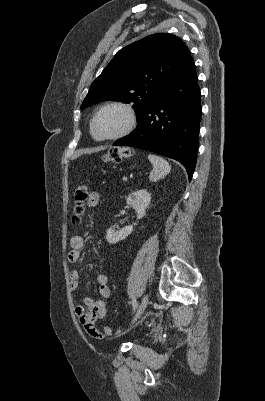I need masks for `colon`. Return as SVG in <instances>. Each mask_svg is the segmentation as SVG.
Wrapping results in <instances>:
<instances>
[{
  "mask_svg": "<svg viewBox=\"0 0 265 401\" xmlns=\"http://www.w3.org/2000/svg\"><path fill=\"white\" fill-rule=\"evenodd\" d=\"M131 155V151L127 148L114 147L107 151L105 159L109 163H118ZM90 197V190L87 184L81 183L76 187L74 194L75 208L73 213V223L78 224L81 221L84 212L85 203ZM88 334L95 338H103L105 335L114 333L110 327H105L103 331L98 330L92 324H88L85 328Z\"/></svg>",
  "mask_w": 265,
  "mask_h": 401,
  "instance_id": "5ec220e1",
  "label": "colon"
}]
</instances>
